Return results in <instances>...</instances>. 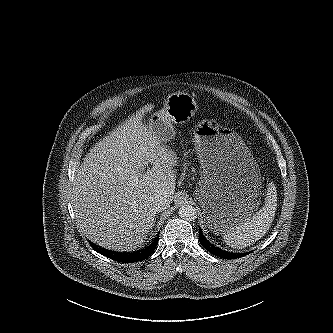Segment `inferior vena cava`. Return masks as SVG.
<instances>
[{"mask_svg":"<svg viewBox=\"0 0 333 333\" xmlns=\"http://www.w3.org/2000/svg\"><path fill=\"white\" fill-rule=\"evenodd\" d=\"M153 207L156 212L165 210L170 207V200L163 195H156L153 200Z\"/></svg>","mask_w":333,"mask_h":333,"instance_id":"inferior-vena-cava-1","label":"inferior vena cava"}]
</instances>
